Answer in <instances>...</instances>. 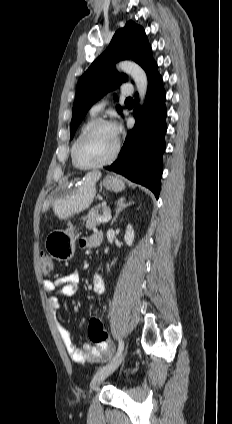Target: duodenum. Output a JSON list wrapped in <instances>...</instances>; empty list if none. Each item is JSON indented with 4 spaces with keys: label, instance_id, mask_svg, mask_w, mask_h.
I'll list each match as a JSON object with an SVG mask.
<instances>
[{
    "label": "duodenum",
    "instance_id": "1",
    "mask_svg": "<svg viewBox=\"0 0 232 424\" xmlns=\"http://www.w3.org/2000/svg\"><path fill=\"white\" fill-rule=\"evenodd\" d=\"M101 240H102V235L99 233V237H98V243H97V245H99V244L101 243Z\"/></svg>",
    "mask_w": 232,
    "mask_h": 424
}]
</instances>
